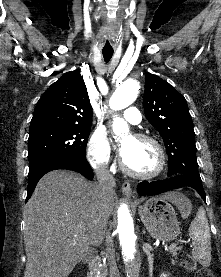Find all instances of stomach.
I'll return each mask as SVG.
<instances>
[{
    "label": "stomach",
    "instance_id": "stomach-1",
    "mask_svg": "<svg viewBox=\"0 0 221 277\" xmlns=\"http://www.w3.org/2000/svg\"><path fill=\"white\" fill-rule=\"evenodd\" d=\"M182 217H187L191 205L187 199L178 205ZM138 213L144 226L154 239L172 241L180 233L177 213L164 197H153L139 206Z\"/></svg>",
    "mask_w": 221,
    "mask_h": 277
}]
</instances>
